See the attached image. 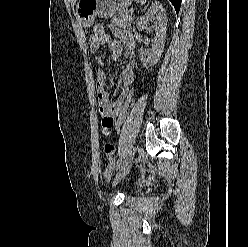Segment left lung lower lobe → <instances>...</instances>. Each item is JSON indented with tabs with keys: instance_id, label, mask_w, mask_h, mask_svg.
Instances as JSON below:
<instances>
[{
	"instance_id": "1",
	"label": "left lung lower lobe",
	"mask_w": 248,
	"mask_h": 247,
	"mask_svg": "<svg viewBox=\"0 0 248 247\" xmlns=\"http://www.w3.org/2000/svg\"><path fill=\"white\" fill-rule=\"evenodd\" d=\"M170 1L176 10V13H178L180 10L181 0H170Z\"/></svg>"
}]
</instances>
